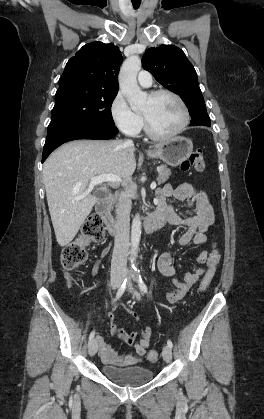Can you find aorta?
<instances>
[{
	"label": "aorta",
	"mask_w": 264,
	"mask_h": 419,
	"mask_svg": "<svg viewBox=\"0 0 264 419\" xmlns=\"http://www.w3.org/2000/svg\"><path fill=\"white\" fill-rule=\"evenodd\" d=\"M141 69V59L138 56L128 57L119 73V86L133 110L141 108L147 100V93L140 90L137 83V74ZM141 239V218L136 214L132 221L131 246L133 260L135 259Z\"/></svg>",
	"instance_id": "obj_1"
}]
</instances>
